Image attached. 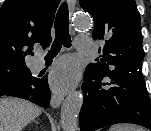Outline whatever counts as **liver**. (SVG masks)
Returning <instances> with one entry per match:
<instances>
[{"label":"liver","mask_w":151,"mask_h":131,"mask_svg":"<svg viewBox=\"0 0 151 131\" xmlns=\"http://www.w3.org/2000/svg\"><path fill=\"white\" fill-rule=\"evenodd\" d=\"M41 109L26 100L17 98L0 99V131H22Z\"/></svg>","instance_id":"6515ba94"}]
</instances>
